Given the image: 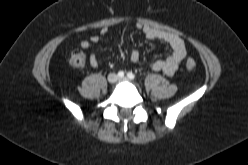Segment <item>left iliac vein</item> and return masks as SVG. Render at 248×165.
<instances>
[{
    "instance_id": "left-iliac-vein-1",
    "label": "left iliac vein",
    "mask_w": 248,
    "mask_h": 165,
    "mask_svg": "<svg viewBox=\"0 0 248 165\" xmlns=\"http://www.w3.org/2000/svg\"><path fill=\"white\" fill-rule=\"evenodd\" d=\"M119 81H129V79L126 77H122V78H119Z\"/></svg>"
}]
</instances>
